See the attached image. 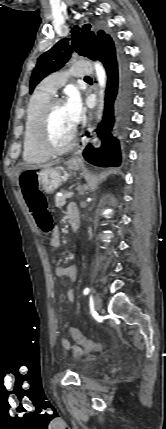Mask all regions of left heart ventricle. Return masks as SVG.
Returning <instances> with one entry per match:
<instances>
[{"label": "left heart ventricle", "instance_id": "obj_1", "mask_svg": "<svg viewBox=\"0 0 166 429\" xmlns=\"http://www.w3.org/2000/svg\"><path fill=\"white\" fill-rule=\"evenodd\" d=\"M74 125L70 121L65 104L57 105L50 117L49 135L51 142L56 146L65 145L72 134Z\"/></svg>", "mask_w": 166, "mask_h": 429}]
</instances>
